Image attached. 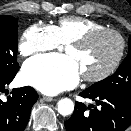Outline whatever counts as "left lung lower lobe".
<instances>
[{
    "label": "left lung lower lobe",
    "mask_w": 131,
    "mask_h": 131,
    "mask_svg": "<svg viewBox=\"0 0 131 131\" xmlns=\"http://www.w3.org/2000/svg\"><path fill=\"white\" fill-rule=\"evenodd\" d=\"M80 96L92 99L97 107L91 105L87 108L76 102L72 117L64 123L67 131H124L131 125V99L88 89Z\"/></svg>",
    "instance_id": "0a47b994"
}]
</instances>
